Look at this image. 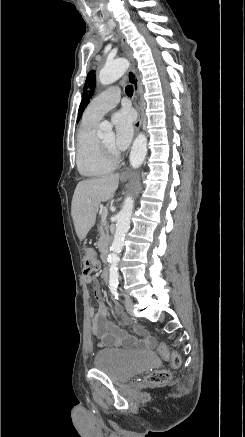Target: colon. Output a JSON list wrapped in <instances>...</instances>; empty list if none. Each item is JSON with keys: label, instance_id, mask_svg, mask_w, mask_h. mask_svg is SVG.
I'll list each match as a JSON object with an SVG mask.
<instances>
[{"label": "colon", "instance_id": "5ec220e1", "mask_svg": "<svg viewBox=\"0 0 245 437\" xmlns=\"http://www.w3.org/2000/svg\"><path fill=\"white\" fill-rule=\"evenodd\" d=\"M84 272L86 274L96 273L100 269V263L96 257L95 251L91 248L85 250L84 253ZM158 353L163 359H170L174 368L181 365V358L178 353L170 352L165 344H160L157 348ZM171 379V373L167 370H159L148 376V381L153 384H161L168 382Z\"/></svg>", "mask_w": 245, "mask_h": 437}]
</instances>
